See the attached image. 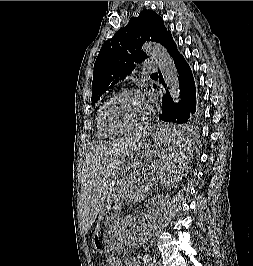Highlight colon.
<instances>
[{
  "label": "colon",
  "mask_w": 253,
  "mask_h": 266,
  "mask_svg": "<svg viewBox=\"0 0 253 266\" xmlns=\"http://www.w3.org/2000/svg\"><path fill=\"white\" fill-rule=\"evenodd\" d=\"M117 262L115 261H111V262H107V266H116Z\"/></svg>",
  "instance_id": "1"
}]
</instances>
